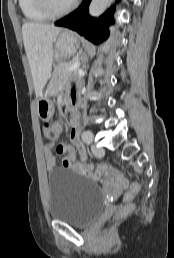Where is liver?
Wrapping results in <instances>:
<instances>
[{"instance_id": "1", "label": "liver", "mask_w": 174, "mask_h": 258, "mask_svg": "<svg viewBox=\"0 0 174 258\" xmlns=\"http://www.w3.org/2000/svg\"><path fill=\"white\" fill-rule=\"evenodd\" d=\"M60 31L59 27L42 23L27 22L22 26L24 47L37 98L50 78L53 63V42Z\"/></svg>"}]
</instances>
